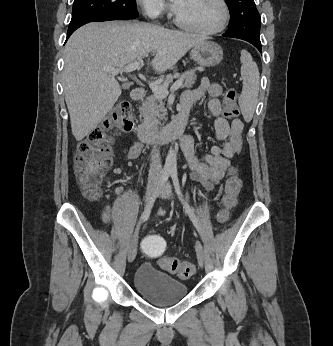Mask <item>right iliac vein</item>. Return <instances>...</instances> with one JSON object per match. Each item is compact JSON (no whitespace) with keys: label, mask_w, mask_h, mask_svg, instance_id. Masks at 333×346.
<instances>
[{"label":"right iliac vein","mask_w":333,"mask_h":346,"mask_svg":"<svg viewBox=\"0 0 333 346\" xmlns=\"http://www.w3.org/2000/svg\"><path fill=\"white\" fill-rule=\"evenodd\" d=\"M157 183L158 178L154 177L152 181L147 186L146 194H145V207H148L150 202L152 201V198L154 196V193L157 189ZM137 248H138V231L135 232L133 235L130 245L128 247V261L132 262L134 261L136 254H137Z\"/></svg>","instance_id":"obj_1"}]
</instances>
